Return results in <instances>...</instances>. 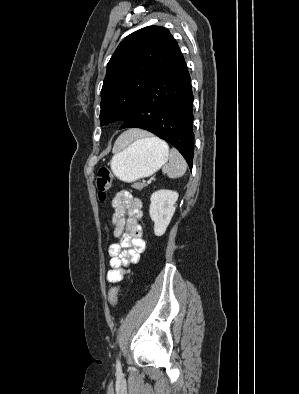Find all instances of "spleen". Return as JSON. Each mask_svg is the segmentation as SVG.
Instances as JSON below:
<instances>
[{"instance_id":"spleen-1","label":"spleen","mask_w":299,"mask_h":394,"mask_svg":"<svg viewBox=\"0 0 299 394\" xmlns=\"http://www.w3.org/2000/svg\"><path fill=\"white\" fill-rule=\"evenodd\" d=\"M146 139L148 141H151L152 143L160 144L168 148V145L164 141L156 137H151ZM186 170H187V164L185 159L176 148H172L169 152V163L163 166L162 172L166 174L169 178H179L185 174Z\"/></svg>"}]
</instances>
